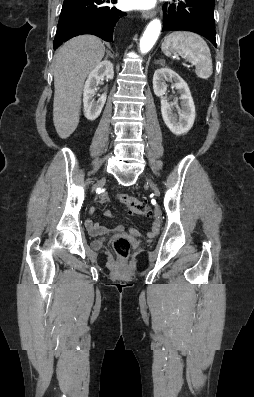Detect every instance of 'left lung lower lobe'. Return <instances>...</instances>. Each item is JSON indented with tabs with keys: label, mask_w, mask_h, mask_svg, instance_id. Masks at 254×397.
<instances>
[{
	"label": "left lung lower lobe",
	"mask_w": 254,
	"mask_h": 397,
	"mask_svg": "<svg viewBox=\"0 0 254 397\" xmlns=\"http://www.w3.org/2000/svg\"><path fill=\"white\" fill-rule=\"evenodd\" d=\"M163 12L162 31L195 32L216 47L214 0H176V3H165Z\"/></svg>",
	"instance_id": "0a47b994"
}]
</instances>
